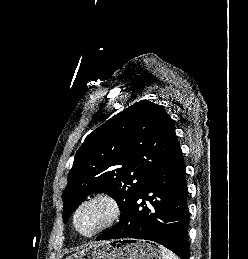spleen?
<instances>
[{
	"instance_id": "spleen-1",
	"label": "spleen",
	"mask_w": 248,
	"mask_h": 259,
	"mask_svg": "<svg viewBox=\"0 0 248 259\" xmlns=\"http://www.w3.org/2000/svg\"><path fill=\"white\" fill-rule=\"evenodd\" d=\"M163 259H180L178 256H176L172 251L167 249L164 246H159Z\"/></svg>"
}]
</instances>
